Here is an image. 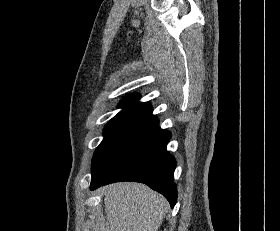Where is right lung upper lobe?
Masks as SVG:
<instances>
[{
  "label": "right lung upper lobe",
  "instance_id": "cb5924a9",
  "mask_svg": "<svg viewBox=\"0 0 280 231\" xmlns=\"http://www.w3.org/2000/svg\"><path fill=\"white\" fill-rule=\"evenodd\" d=\"M140 95L137 93L128 95L119 103L118 107L123 108L113 121L129 122L133 125H140L157 118L152 114V106L148 102H138Z\"/></svg>",
  "mask_w": 280,
  "mask_h": 231
}]
</instances>
